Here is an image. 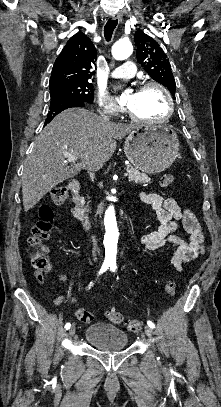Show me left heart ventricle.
I'll list each match as a JSON object with an SVG mask.
<instances>
[{"mask_svg": "<svg viewBox=\"0 0 221 407\" xmlns=\"http://www.w3.org/2000/svg\"><path fill=\"white\" fill-rule=\"evenodd\" d=\"M126 106L139 117L149 120L160 119L167 111L166 97L157 88L132 91L128 94Z\"/></svg>", "mask_w": 221, "mask_h": 407, "instance_id": "b2bd125f", "label": "left heart ventricle"}]
</instances>
